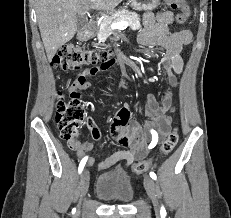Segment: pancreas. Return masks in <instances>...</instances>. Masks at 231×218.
Instances as JSON below:
<instances>
[{
  "label": "pancreas",
  "instance_id": "pancreas-1",
  "mask_svg": "<svg viewBox=\"0 0 231 218\" xmlns=\"http://www.w3.org/2000/svg\"><path fill=\"white\" fill-rule=\"evenodd\" d=\"M127 21L131 29H139L141 27L140 20L136 13L126 9L115 11L111 16L103 19L99 25L97 37L104 42L111 34L115 33V28L111 27L112 23Z\"/></svg>",
  "mask_w": 231,
  "mask_h": 218
}]
</instances>
